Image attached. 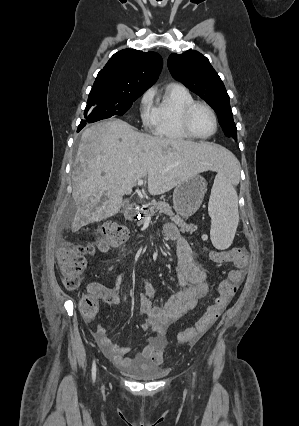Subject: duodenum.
I'll return each mask as SVG.
<instances>
[{
  "instance_id": "1",
  "label": "duodenum",
  "mask_w": 299,
  "mask_h": 426,
  "mask_svg": "<svg viewBox=\"0 0 299 426\" xmlns=\"http://www.w3.org/2000/svg\"><path fill=\"white\" fill-rule=\"evenodd\" d=\"M138 211H139L138 206H131L126 210L125 217L129 220H132L137 216Z\"/></svg>"
}]
</instances>
